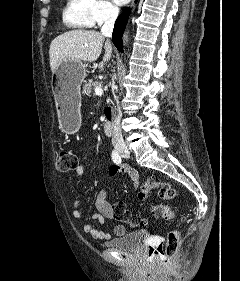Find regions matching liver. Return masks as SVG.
<instances>
[{
  "label": "liver",
  "instance_id": "obj_1",
  "mask_svg": "<svg viewBox=\"0 0 240 281\" xmlns=\"http://www.w3.org/2000/svg\"><path fill=\"white\" fill-rule=\"evenodd\" d=\"M105 36L94 30H72L52 40L49 49L50 68L53 73L66 61H95L101 54ZM105 55L99 68H103L112 54L110 41L105 42Z\"/></svg>",
  "mask_w": 240,
  "mask_h": 281
}]
</instances>
